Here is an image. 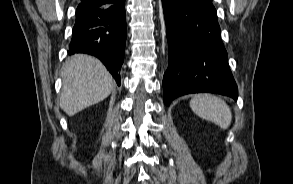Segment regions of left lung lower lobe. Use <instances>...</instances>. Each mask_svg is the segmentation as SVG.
I'll return each instance as SVG.
<instances>
[{"instance_id": "0a47b994", "label": "left lung lower lobe", "mask_w": 293, "mask_h": 184, "mask_svg": "<svg viewBox=\"0 0 293 184\" xmlns=\"http://www.w3.org/2000/svg\"><path fill=\"white\" fill-rule=\"evenodd\" d=\"M169 65L164 102L189 93L212 92L237 100L212 0H162Z\"/></svg>"}]
</instances>
